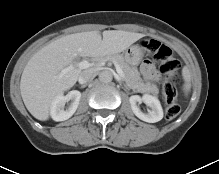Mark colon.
Returning a JSON list of instances; mask_svg holds the SVG:
<instances>
[{
    "mask_svg": "<svg viewBox=\"0 0 219 174\" xmlns=\"http://www.w3.org/2000/svg\"><path fill=\"white\" fill-rule=\"evenodd\" d=\"M143 46L160 64L163 75V95L166 102L165 117L169 120L174 119L180 113V107L176 103L177 85L180 81V61L170 47L158 40H148Z\"/></svg>",
    "mask_w": 219,
    "mask_h": 174,
    "instance_id": "1",
    "label": "colon"
}]
</instances>
